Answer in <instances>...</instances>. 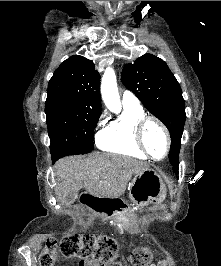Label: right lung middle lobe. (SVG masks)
<instances>
[{"instance_id":"right-lung-middle-lobe-1","label":"right lung middle lobe","mask_w":221,"mask_h":266,"mask_svg":"<svg viewBox=\"0 0 221 266\" xmlns=\"http://www.w3.org/2000/svg\"><path fill=\"white\" fill-rule=\"evenodd\" d=\"M52 159L88 153L100 112L84 110L72 97L48 95L45 104Z\"/></svg>"}]
</instances>
